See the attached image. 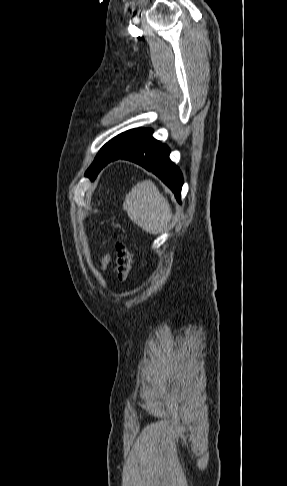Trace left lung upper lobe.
Instances as JSON below:
<instances>
[{
    "label": "left lung upper lobe",
    "mask_w": 287,
    "mask_h": 486,
    "mask_svg": "<svg viewBox=\"0 0 287 486\" xmlns=\"http://www.w3.org/2000/svg\"><path fill=\"white\" fill-rule=\"evenodd\" d=\"M151 136L152 130L145 128H136L117 135L100 149L85 176L93 180L105 161L140 149Z\"/></svg>",
    "instance_id": "left-lung-upper-lobe-1"
}]
</instances>
